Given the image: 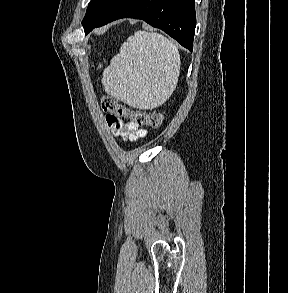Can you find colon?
Returning <instances> with one entry per match:
<instances>
[{
    "mask_svg": "<svg viewBox=\"0 0 288 293\" xmlns=\"http://www.w3.org/2000/svg\"><path fill=\"white\" fill-rule=\"evenodd\" d=\"M102 107L108 111L113 117L129 118L139 127L149 126L152 128H159L163 123V115L159 111H133L120 105L117 100L109 95L102 97Z\"/></svg>",
    "mask_w": 288,
    "mask_h": 293,
    "instance_id": "obj_1",
    "label": "colon"
}]
</instances>
